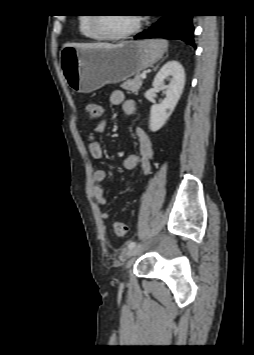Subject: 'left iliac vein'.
Wrapping results in <instances>:
<instances>
[{
	"label": "left iliac vein",
	"instance_id": "obj_1",
	"mask_svg": "<svg viewBox=\"0 0 254 355\" xmlns=\"http://www.w3.org/2000/svg\"><path fill=\"white\" fill-rule=\"evenodd\" d=\"M144 249L143 245H139V246H135L133 248L130 249V251L128 252V257H135L138 256Z\"/></svg>",
	"mask_w": 254,
	"mask_h": 355
}]
</instances>
